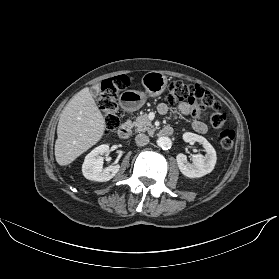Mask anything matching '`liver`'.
<instances>
[{
	"instance_id": "obj_1",
	"label": "liver",
	"mask_w": 279,
	"mask_h": 279,
	"mask_svg": "<svg viewBox=\"0 0 279 279\" xmlns=\"http://www.w3.org/2000/svg\"><path fill=\"white\" fill-rule=\"evenodd\" d=\"M106 128L89 88L79 91L67 103L57 126L55 158L59 165L72 163L101 140Z\"/></svg>"
}]
</instances>
